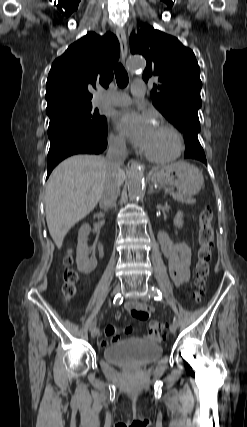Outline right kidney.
Masks as SVG:
<instances>
[{"mask_svg": "<svg viewBox=\"0 0 247 427\" xmlns=\"http://www.w3.org/2000/svg\"><path fill=\"white\" fill-rule=\"evenodd\" d=\"M91 228L89 224L85 223L81 226L78 233V244L76 250V263L77 269L83 274L91 273L97 266L95 257H89V247L87 239L90 234Z\"/></svg>", "mask_w": 247, "mask_h": 427, "instance_id": "ca27d5eb", "label": "right kidney"}]
</instances>
